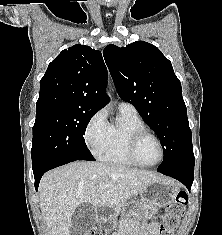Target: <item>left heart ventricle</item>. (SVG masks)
<instances>
[{
    "label": "left heart ventricle",
    "instance_id": "1",
    "mask_svg": "<svg viewBox=\"0 0 222 235\" xmlns=\"http://www.w3.org/2000/svg\"><path fill=\"white\" fill-rule=\"evenodd\" d=\"M140 160L147 164L155 163L160 158V148L153 138H145L138 148Z\"/></svg>",
    "mask_w": 222,
    "mask_h": 235
}]
</instances>
